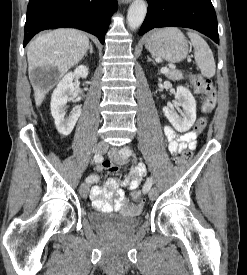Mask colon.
Wrapping results in <instances>:
<instances>
[{
	"label": "colon",
	"instance_id": "colon-1",
	"mask_svg": "<svg viewBox=\"0 0 247 275\" xmlns=\"http://www.w3.org/2000/svg\"><path fill=\"white\" fill-rule=\"evenodd\" d=\"M189 79L195 89V91L203 96L202 101V112L204 114H209L213 111L216 105V96L217 91L214 84L199 75L192 74L189 76ZM208 120L206 116H202L197 119L194 130L196 133L202 132L207 126ZM192 157V152L190 150H185L180 153L178 156L174 158V163L176 165H182L187 163ZM113 164L109 161H105L103 163V168L106 170H110L113 168ZM133 198L136 203L142 204L144 202V198L141 191L134 190L133 191Z\"/></svg>",
	"mask_w": 247,
	"mask_h": 275
}]
</instances>
